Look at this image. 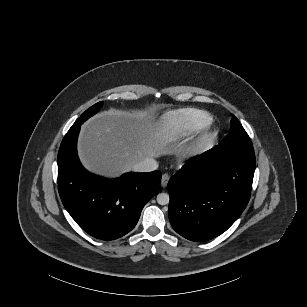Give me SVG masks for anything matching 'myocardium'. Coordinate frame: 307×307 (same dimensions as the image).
Masks as SVG:
<instances>
[{"label": "myocardium", "mask_w": 307, "mask_h": 307, "mask_svg": "<svg viewBox=\"0 0 307 307\" xmlns=\"http://www.w3.org/2000/svg\"><path fill=\"white\" fill-rule=\"evenodd\" d=\"M205 135L190 140L177 148L170 151L166 158L170 159H180L187 158L190 159L192 163L198 162L203 156V147L205 141Z\"/></svg>", "instance_id": "myocardium-1"}]
</instances>
